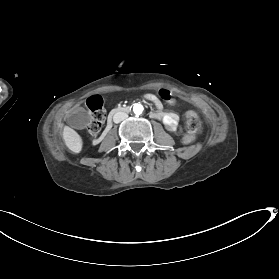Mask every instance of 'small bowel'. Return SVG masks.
<instances>
[{
	"label": "small bowel",
	"mask_w": 279,
	"mask_h": 279,
	"mask_svg": "<svg viewBox=\"0 0 279 279\" xmlns=\"http://www.w3.org/2000/svg\"><path fill=\"white\" fill-rule=\"evenodd\" d=\"M159 95H160L161 99H163L164 101H166L170 104L174 103V97L169 90L161 89L159 91ZM146 98L148 100H150L155 106V111L152 113V116L154 118L164 119V120L171 119L173 121H175L177 119V116L174 113L163 111V104H162V101L160 98H158L157 96H155L153 94H147Z\"/></svg>",
	"instance_id": "small-bowel-1"
}]
</instances>
